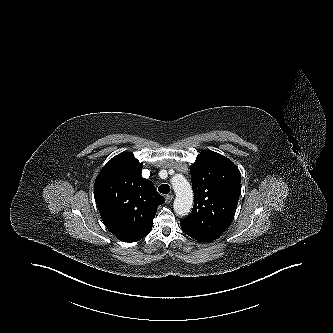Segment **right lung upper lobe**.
Here are the masks:
<instances>
[{"instance_id": "cb5924a9", "label": "right lung upper lobe", "mask_w": 333, "mask_h": 333, "mask_svg": "<svg viewBox=\"0 0 333 333\" xmlns=\"http://www.w3.org/2000/svg\"><path fill=\"white\" fill-rule=\"evenodd\" d=\"M142 163L129 153L112 158L95 180L94 197L105 226L121 241L144 238L165 199L142 177Z\"/></svg>"}]
</instances>
